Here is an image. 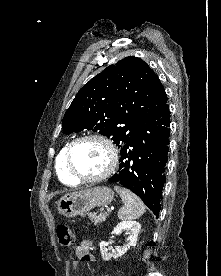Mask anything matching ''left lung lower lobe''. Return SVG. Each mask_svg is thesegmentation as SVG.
Listing matches in <instances>:
<instances>
[{
    "instance_id": "left-lung-lower-lobe-1",
    "label": "left lung lower lobe",
    "mask_w": 221,
    "mask_h": 276,
    "mask_svg": "<svg viewBox=\"0 0 221 276\" xmlns=\"http://www.w3.org/2000/svg\"><path fill=\"white\" fill-rule=\"evenodd\" d=\"M169 126L170 111L166 103L121 148L119 170L109 179L140 196L157 216L166 180Z\"/></svg>"
}]
</instances>
